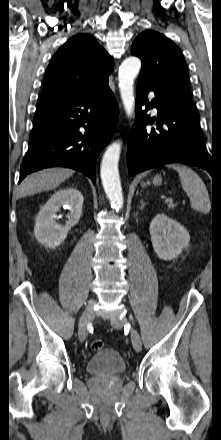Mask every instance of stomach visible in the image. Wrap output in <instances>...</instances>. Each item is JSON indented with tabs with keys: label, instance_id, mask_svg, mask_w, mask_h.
Instances as JSON below:
<instances>
[{
	"label": "stomach",
	"instance_id": "obj_1",
	"mask_svg": "<svg viewBox=\"0 0 221 440\" xmlns=\"http://www.w3.org/2000/svg\"><path fill=\"white\" fill-rule=\"evenodd\" d=\"M161 182H162V179H161V177H160L159 175H157V176L154 177V179H153V183H154L155 185H159V184H161ZM147 184H149V182H148ZM144 185H146V183H145Z\"/></svg>",
	"mask_w": 221,
	"mask_h": 440
}]
</instances>
